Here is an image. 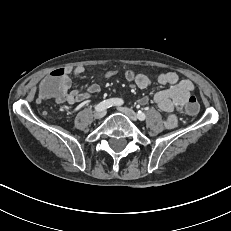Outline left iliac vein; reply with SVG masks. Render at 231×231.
<instances>
[{
  "instance_id": "obj_1",
  "label": "left iliac vein",
  "mask_w": 231,
  "mask_h": 231,
  "mask_svg": "<svg viewBox=\"0 0 231 231\" xmlns=\"http://www.w3.org/2000/svg\"><path fill=\"white\" fill-rule=\"evenodd\" d=\"M117 109L125 114L130 120L137 121V114L132 109L127 107H118Z\"/></svg>"
}]
</instances>
